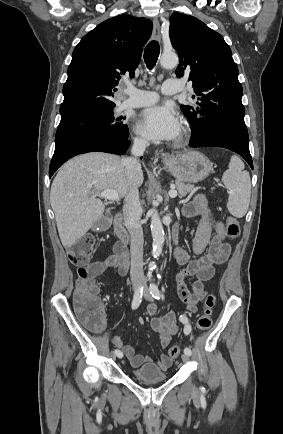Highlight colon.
<instances>
[{
	"instance_id": "5ec220e1",
	"label": "colon",
	"mask_w": 283,
	"mask_h": 434,
	"mask_svg": "<svg viewBox=\"0 0 283 434\" xmlns=\"http://www.w3.org/2000/svg\"><path fill=\"white\" fill-rule=\"evenodd\" d=\"M241 228L238 220L229 217L226 221V233L229 238H237ZM96 248L94 237L87 235L77 240L68 251L69 261L77 268L75 283L74 307L80 320L92 331L102 329L104 313L99 300V288L93 275L88 269L91 256ZM215 296L210 294L205 299L204 309L197 321V329L202 332L212 324V310L215 305ZM181 350L178 346L169 349V356L176 358Z\"/></svg>"
}]
</instances>
